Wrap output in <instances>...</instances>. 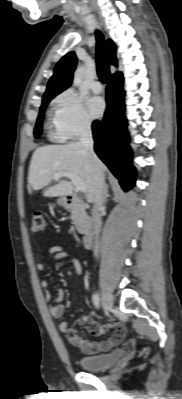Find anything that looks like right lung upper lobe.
I'll return each mask as SVG.
<instances>
[{
	"instance_id": "right-lung-upper-lobe-1",
	"label": "right lung upper lobe",
	"mask_w": 182,
	"mask_h": 399,
	"mask_svg": "<svg viewBox=\"0 0 182 399\" xmlns=\"http://www.w3.org/2000/svg\"><path fill=\"white\" fill-rule=\"evenodd\" d=\"M108 59L111 64L117 66L116 45L112 40L107 41ZM77 58L75 53L69 52L55 66L54 74L50 78L43 99L54 98L67 89L72 83L73 72L76 68ZM116 73L112 76L120 75ZM111 76V77H112Z\"/></svg>"
}]
</instances>
